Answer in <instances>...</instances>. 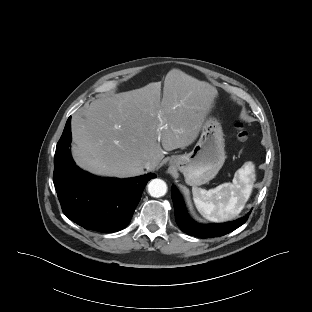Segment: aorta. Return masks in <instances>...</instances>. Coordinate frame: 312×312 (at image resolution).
<instances>
[{
    "label": "aorta",
    "instance_id": "762f6f07",
    "mask_svg": "<svg viewBox=\"0 0 312 312\" xmlns=\"http://www.w3.org/2000/svg\"><path fill=\"white\" fill-rule=\"evenodd\" d=\"M167 192V185L166 183L161 179H153L148 184V193L152 197H162Z\"/></svg>",
    "mask_w": 312,
    "mask_h": 312
}]
</instances>
